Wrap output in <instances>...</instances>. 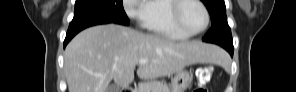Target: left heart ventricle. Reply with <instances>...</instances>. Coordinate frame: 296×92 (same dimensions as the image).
Listing matches in <instances>:
<instances>
[{
  "mask_svg": "<svg viewBox=\"0 0 296 92\" xmlns=\"http://www.w3.org/2000/svg\"><path fill=\"white\" fill-rule=\"evenodd\" d=\"M183 26L190 32L200 30L205 24V13L202 7L195 2H187L180 13Z\"/></svg>",
  "mask_w": 296,
  "mask_h": 92,
  "instance_id": "obj_1",
  "label": "left heart ventricle"
}]
</instances>
